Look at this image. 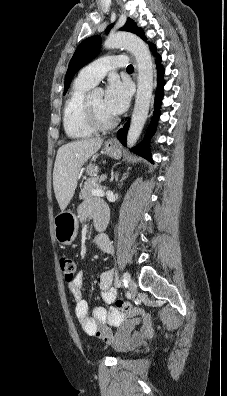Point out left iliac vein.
<instances>
[{"instance_id": "left-iliac-vein-1", "label": "left iliac vein", "mask_w": 227, "mask_h": 396, "mask_svg": "<svg viewBox=\"0 0 227 396\" xmlns=\"http://www.w3.org/2000/svg\"><path fill=\"white\" fill-rule=\"evenodd\" d=\"M129 291L133 297H135L137 292V284L133 279H130L128 282Z\"/></svg>"}]
</instances>
